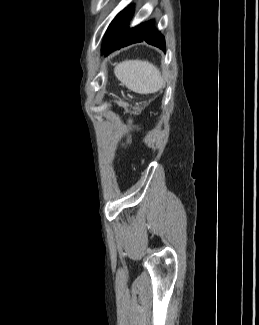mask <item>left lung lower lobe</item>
<instances>
[{"label": "left lung lower lobe", "instance_id": "left-lung-lower-lobe-1", "mask_svg": "<svg viewBox=\"0 0 259 325\" xmlns=\"http://www.w3.org/2000/svg\"><path fill=\"white\" fill-rule=\"evenodd\" d=\"M133 7L121 11L109 25L103 44V54L107 55L121 47L145 41L162 50H165V40L155 29L154 20L130 28L128 23L133 15Z\"/></svg>", "mask_w": 259, "mask_h": 325}]
</instances>
